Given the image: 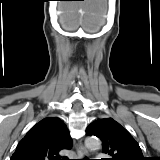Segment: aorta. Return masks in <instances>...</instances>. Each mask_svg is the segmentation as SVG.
Masks as SVG:
<instances>
[{"label":"aorta","mask_w":160,"mask_h":160,"mask_svg":"<svg viewBox=\"0 0 160 160\" xmlns=\"http://www.w3.org/2000/svg\"><path fill=\"white\" fill-rule=\"evenodd\" d=\"M85 145L89 149L97 150L100 148L101 142L96 137H89L86 139Z\"/></svg>","instance_id":"1"}]
</instances>
